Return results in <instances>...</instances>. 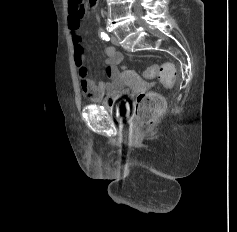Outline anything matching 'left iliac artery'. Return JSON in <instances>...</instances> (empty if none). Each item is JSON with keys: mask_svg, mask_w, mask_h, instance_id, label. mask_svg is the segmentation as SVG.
Returning a JSON list of instances; mask_svg holds the SVG:
<instances>
[{"mask_svg": "<svg viewBox=\"0 0 237 232\" xmlns=\"http://www.w3.org/2000/svg\"><path fill=\"white\" fill-rule=\"evenodd\" d=\"M99 34H100V37L103 40H106V41L110 40L109 36L105 33V31H104V29L102 27L99 28Z\"/></svg>", "mask_w": 237, "mask_h": 232, "instance_id": "obj_1", "label": "left iliac artery"}]
</instances>
